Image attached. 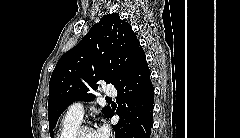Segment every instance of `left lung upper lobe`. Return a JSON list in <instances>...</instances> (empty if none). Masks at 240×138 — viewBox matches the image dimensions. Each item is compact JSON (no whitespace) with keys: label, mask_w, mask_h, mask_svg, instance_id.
Instances as JSON below:
<instances>
[{"label":"left lung upper lobe","mask_w":240,"mask_h":138,"mask_svg":"<svg viewBox=\"0 0 240 138\" xmlns=\"http://www.w3.org/2000/svg\"><path fill=\"white\" fill-rule=\"evenodd\" d=\"M142 46L118 14L103 16L85 37L57 62L49 83L50 135L63 111L75 101L91 102L100 80L120 85ZM111 109L103 108L108 117Z\"/></svg>","instance_id":"obj_1"}]
</instances>
